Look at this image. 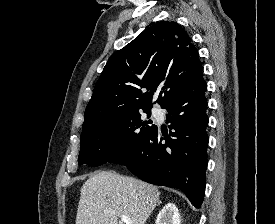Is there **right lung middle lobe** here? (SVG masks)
I'll return each instance as SVG.
<instances>
[{"instance_id": "dd1d6c3e", "label": "right lung middle lobe", "mask_w": 275, "mask_h": 224, "mask_svg": "<svg viewBox=\"0 0 275 224\" xmlns=\"http://www.w3.org/2000/svg\"><path fill=\"white\" fill-rule=\"evenodd\" d=\"M150 117L151 108L142 109ZM140 110L117 115L82 129L79 165L100 166L134 147L154 129Z\"/></svg>"}]
</instances>
